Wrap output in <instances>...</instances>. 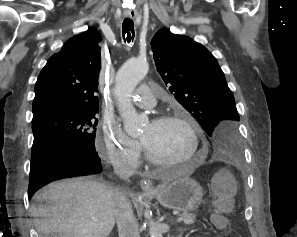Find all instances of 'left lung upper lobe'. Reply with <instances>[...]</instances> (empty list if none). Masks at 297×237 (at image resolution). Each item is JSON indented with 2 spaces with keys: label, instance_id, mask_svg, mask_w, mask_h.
<instances>
[{
  "label": "left lung upper lobe",
  "instance_id": "obj_1",
  "mask_svg": "<svg viewBox=\"0 0 297 237\" xmlns=\"http://www.w3.org/2000/svg\"><path fill=\"white\" fill-rule=\"evenodd\" d=\"M151 46L158 73L210 137L211 151L218 157H240L239 114L216 58L200 43L165 28Z\"/></svg>",
  "mask_w": 297,
  "mask_h": 237
}]
</instances>
